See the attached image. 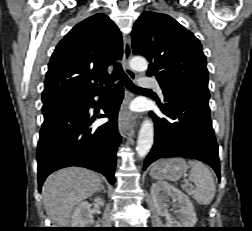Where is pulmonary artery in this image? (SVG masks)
Segmentation results:
<instances>
[{
	"label": "pulmonary artery",
	"mask_w": 252,
	"mask_h": 231,
	"mask_svg": "<svg viewBox=\"0 0 252 231\" xmlns=\"http://www.w3.org/2000/svg\"><path fill=\"white\" fill-rule=\"evenodd\" d=\"M139 84L143 88L154 89L159 93L160 96H163V91H162L161 85L158 81H156L152 78H149V77H142L139 80Z\"/></svg>",
	"instance_id": "obj_1"
}]
</instances>
